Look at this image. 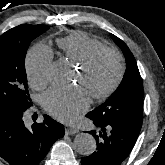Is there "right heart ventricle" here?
<instances>
[{"label": "right heart ventricle", "instance_id": "1", "mask_svg": "<svg viewBox=\"0 0 165 165\" xmlns=\"http://www.w3.org/2000/svg\"><path fill=\"white\" fill-rule=\"evenodd\" d=\"M62 54L70 61L79 64L91 52L104 47L103 43L83 31H76L56 40Z\"/></svg>", "mask_w": 165, "mask_h": 165}]
</instances>
